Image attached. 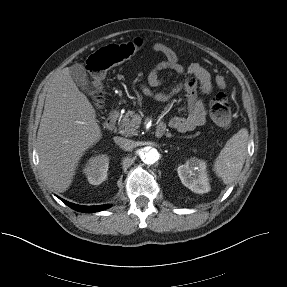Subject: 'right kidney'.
Here are the masks:
<instances>
[{
    "instance_id": "ca27d5eb",
    "label": "right kidney",
    "mask_w": 287,
    "mask_h": 287,
    "mask_svg": "<svg viewBox=\"0 0 287 287\" xmlns=\"http://www.w3.org/2000/svg\"><path fill=\"white\" fill-rule=\"evenodd\" d=\"M109 166V157L107 155H98L91 157L83 169L88 182L92 185H99L107 178Z\"/></svg>"
}]
</instances>
